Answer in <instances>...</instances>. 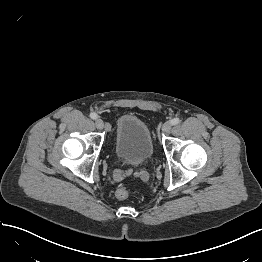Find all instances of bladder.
I'll list each match as a JSON object with an SVG mask.
<instances>
[{
    "label": "bladder",
    "instance_id": "obj_1",
    "mask_svg": "<svg viewBox=\"0 0 262 262\" xmlns=\"http://www.w3.org/2000/svg\"><path fill=\"white\" fill-rule=\"evenodd\" d=\"M118 158L130 165H139L151 157L154 145L148 126L136 116H122L115 131Z\"/></svg>",
    "mask_w": 262,
    "mask_h": 262
}]
</instances>
